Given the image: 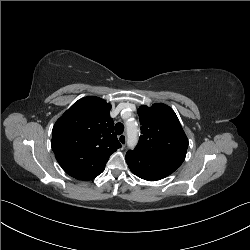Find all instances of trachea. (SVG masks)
Instances as JSON below:
<instances>
[{
    "mask_svg": "<svg viewBox=\"0 0 250 250\" xmlns=\"http://www.w3.org/2000/svg\"><path fill=\"white\" fill-rule=\"evenodd\" d=\"M124 131V125L120 122L116 123L115 125V132L117 135H121Z\"/></svg>",
    "mask_w": 250,
    "mask_h": 250,
    "instance_id": "trachea-1",
    "label": "trachea"
}]
</instances>
